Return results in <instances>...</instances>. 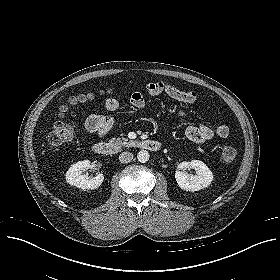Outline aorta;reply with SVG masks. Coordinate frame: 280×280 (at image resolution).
<instances>
[{"label": "aorta", "instance_id": "obj_1", "mask_svg": "<svg viewBox=\"0 0 280 280\" xmlns=\"http://www.w3.org/2000/svg\"><path fill=\"white\" fill-rule=\"evenodd\" d=\"M137 159L141 163H145L149 160V153L146 150H141L137 153Z\"/></svg>", "mask_w": 280, "mask_h": 280}]
</instances>
